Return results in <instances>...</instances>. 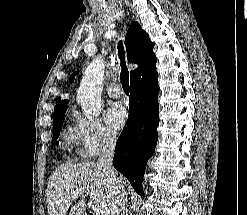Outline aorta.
Instances as JSON below:
<instances>
[{
    "mask_svg": "<svg viewBox=\"0 0 247 215\" xmlns=\"http://www.w3.org/2000/svg\"><path fill=\"white\" fill-rule=\"evenodd\" d=\"M105 64L103 59L95 58L87 67L77 93L83 114L88 119L97 117L101 110V93Z\"/></svg>",
    "mask_w": 247,
    "mask_h": 215,
    "instance_id": "obj_1",
    "label": "aorta"
}]
</instances>
